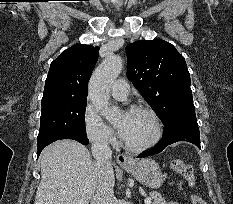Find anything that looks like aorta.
Instances as JSON below:
<instances>
[{
	"label": "aorta",
	"instance_id": "obj_1",
	"mask_svg": "<svg viewBox=\"0 0 233 204\" xmlns=\"http://www.w3.org/2000/svg\"><path fill=\"white\" fill-rule=\"evenodd\" d=\"M122 68V58L118 55H109L96 68L89 83V97L92 104L109 122L115 121L120 114L118 108L110 106L109 92Z\"/></svg>",
	"mask_w": 233,
	"mask_h": 204
}]
</instances>
